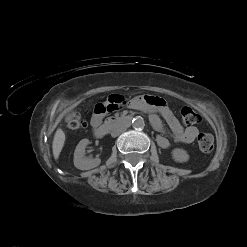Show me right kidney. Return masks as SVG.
I'll use <instances>...</instances> for the list:
<instances>
[{"mask_svg":"<svg viewBox=\"0 0 247 247\" xmlns=\"http://www.w3.org/2000/svg\"><path fill=\"white\" fill-rule=\"evenodd\" d=\"M89 144L88 139H82L74 152V166L80 170H90L100 165L99 158L90 159L85 157V148Z\"/></svg>","mask_w":247,"mask_h":247,"instance_id":"1","label":"right kidney"}]
</instances>
